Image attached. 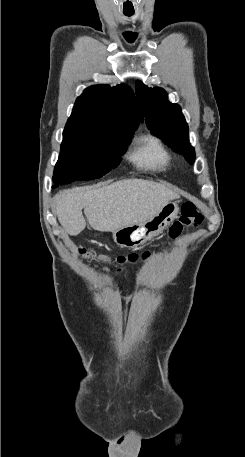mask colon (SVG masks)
<instances>
[{"instance_id":"5ec220e1","label":"colon","mask_w":245,"mask_h":457,"mask_svg":"<svg viewBox=\"0 0 245 457\" xmlns=\"http://www.w3.org/2000/svg\"><path fill=\"white\" fill-rule=\"evenodd\" d=\"M204 219L203 214L198 210L197 206L193 202H186L181 207V214L177 221H175L169 229V237L171 240H175L182 236V234L190 228L196 227L201 224ZM79 253L82 255H89L84 248L79 249ZM151 255V252L144 251L142 253H130L126 255H120L114 260H111L105 255H100L98 258L104 262H112L116 266L120 267V270L124 266L134 265L138 262L147 260ZM92 256V255H91Z\"/></svg>"}]
</instances>
